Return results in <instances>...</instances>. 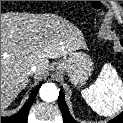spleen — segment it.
I'll use <instances>...</instances> for the list:
<instances>
[{
    "mask_svg": "<svg viewBox=\"0 0 123 123\" xmlns=\"http://www.w3.org/2000/svg\"><path fill=\"white\" fill-rule=\"evenodd\" d=\"M86 103L101 116H113L123 107V85L116 70L105 64L89 87L81 91Z\"/></svg>",
    "mask_w": 123,
    "mask_h": 123,
    "instance_id": "spleen-1",
    "label": "spleen"
}]
</instances>
